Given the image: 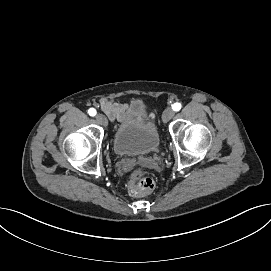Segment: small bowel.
Masks as SVG:
<instances>
[{
  "mask_svg": "<svg viewBox=\"0 0 271 271\" xmlns=\"http://www.w3.org/2000/svg\"><path fill=\"white\" fill-rule=\"evenodd\" d=\"M100 108L108 116L111 121H122L127 114L129 105L103 98L100 100Z\"/></svg>",
  "mask_w": 271,
  "mask_h": 271,
  "instance_id": "1",
  "label": "small bowel"
}]
</instances>
